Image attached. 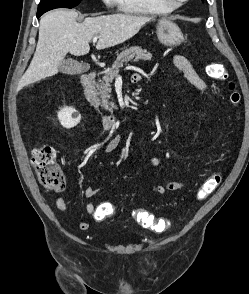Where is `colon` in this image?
<instances>
[{
    "label": "colon",
    "instance_id": "5ec220e1",
    "mask_svg": "<svg viewBox=\"0 0 249 294\" xmlns=\"http://www.w3.org/2000/svg\"><path fill=\"white\" fill-rule=\"evenodd\" d=\"M206 72L211 78L226 79L224 69L218 64H208ZM229 101L234 107H237L241 102L240 94L234 88H230ZM55 159L56 154L51 146L41 145L32 151V165L37 180L44 188L49 190H60L66 185L65 174L58 167ZM220 182L221 175L219 173L212 174L201 185L197 192V198L202 200L209 196L219 186ZM113 211V206L108 208L109 213ZM132 216L140 226L156 232H163L170 225L168 220L156 217L147 211L135 210Z\"/></svg>",
    "mask_w": 249,
    "mask_h": 294
}]
</instances>
